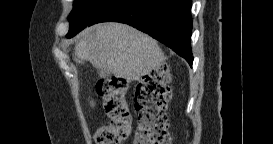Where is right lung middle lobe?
I'll use <instances>...</instances> for the list:
<instances>
[{"label": "right lung middle lobe", "instance_id": "dd1d6c3e", "mask_svg": "<svg viewBox=\"0 0 273 144\" xmlns=\"http://www.w3.org/2000/svg\"><path fill=\"white\" fill-rule=\"evenodd\" d=\"M111 0H75L69 16L70 29L67 38H71L85 28L89 20Z\"/></svg>", "mask_w": 273, "mask_h": 144}]
</instances>
